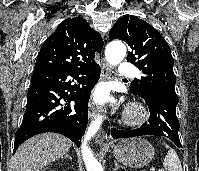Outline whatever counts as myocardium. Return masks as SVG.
<instances>
[{
	"instance_id": "f54148a6",
	"label": "myocardium",
	"mask_w": 199,
	"mask_h": 171,
	"mask_svg": "<svg viewBox=\"0 0 199 171\" xmlns=\"http://www.w3.org/2000/svg\"><path fill=\"white\" fill-rule=\"evenodd\" d=\"M149 116L147 108L139 103H132L125 112V122L131 126H137L144 123Z\"/></svg>"
}]
</instances>
